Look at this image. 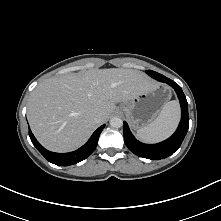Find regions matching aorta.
Returning a JSON list of instances; mask_svg holds the SVG:
<instances>
[{
    "label": "aorta",
    "instance_id": "762f6f07",
    "mask_svg": "<svg viewBox=\"0 0 221 221\" xmlns=\"http://www.w3.org/2000/svg\"><path fill=\"white\" fill-rule=\"evenodd\" d=\"M110 125L113 128H120L123 125V121L120 117H112L110 119Z\"/></svg>",
    "mask_w": 221,
    "mask_h": 221
}]
</instances>
